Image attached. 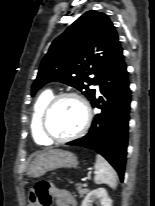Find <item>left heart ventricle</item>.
I'll use <instances>...</instances> for the list:
<instances>
[{"label":"left heart ventricle","instance_id":"left-heart-ventricle-1","mask_svg":"<svg viewBox=\"0 0 155 206\" xmlns=\"http://www.w3.org/2000/svg\"><path fill=\"white\" fill-rule=\"evenodd\" d=\"M83 109L73 98L60 100L51 110L47 127L55 137H66L79 130L83 123Z\"/></svg>","mask_w":155,"mask_h":206}]
</instances>
